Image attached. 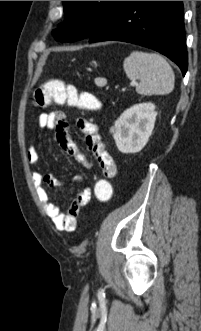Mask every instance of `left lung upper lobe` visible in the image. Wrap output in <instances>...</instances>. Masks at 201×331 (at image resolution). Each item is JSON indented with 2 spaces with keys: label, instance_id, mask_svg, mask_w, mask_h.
I'll return each instance as SVG.
<instances>
[{
  "label": "left lung upper lobe",
  "instance_id": "left-lung-upper-lobe-1",
  "mask_svg": "<svg viewBox=\"0 0 201 331\" xmlns=\"http://www.w3.org/2000/svg\"><path fill=\"white\" fill-rule=\"evenodd\" d=\"M120 1H63L65 20L53 31L59 41L89 38Z\"/></svg>",
  "mask_w": 201,
  "mask_h": 331
}]
</instances>
